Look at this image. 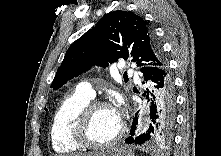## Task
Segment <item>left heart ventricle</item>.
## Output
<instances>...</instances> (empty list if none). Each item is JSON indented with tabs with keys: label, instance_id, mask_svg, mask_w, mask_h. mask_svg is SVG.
Returning a JSON list of instances; mask_svg holds the SVG:
<instances>
[{
	"label": "left heart ventricle",
	"instance_id": "1",
	"mask_svg": "<svg viewBox=\"0 0 221 156\" xmlns=\"http://www.w3.org/2000/svg\"><path fill=\"white\" fill-rule=\"evenodd\" d=\"M120 127L111 107H103L95 111L89 126L88 137L96 143H104L115 136Z\"/></svg>",
	"mask_w": 221,
	"mask_h": 156
}]
</instances>
